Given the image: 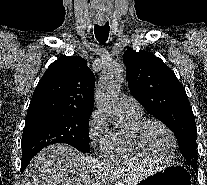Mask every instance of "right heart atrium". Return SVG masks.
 Here are the masks:
<instances>
[{
    "label": "right heart atrium",
    "mask_w": 207,
    "mask_h": 185,
    "mask_svg": "<svg viewBox=\"0 0 207 185\" xmlns=\"http://www.w3.org/2000/svg\"><path fill=\"white\" fill-rule=\"evenodd\" d=\"M109 134L108 117L102 111L96 109L92 112L87 126V135L90 143L96 145L102 142Z\"/></svg>",
    "instance_id": "right-heart-atrium-1"
}]
</instances>
